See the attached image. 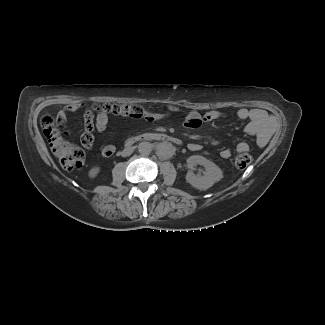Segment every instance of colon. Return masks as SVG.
Wrapping results in <instances>:
<instances>
[{
	"label": "colon",
	"mask_w": 325,
	"mask_h": 325,
	"mask_svg": "<svg viewBox=\"0 0 325 325\" xmlns=\"http://www.w3.org/2000/svg\"><path fill=\"white\" fill-rule=\"evenodd\" d=\"M93 109L97 113H104L108 116H121L140 118L147 114L144 107L135 104H95ZM43 131L48 139L50 148L58 158L65 170H73L83 165L85 152L79 146L68 142L56 127L54 118L49 115L43 116L41 120ZM252 163V156L247 152H241L235 159V166L238 169H245Z\"/></svg>",
	"instance_id": "obj_1"
}]
</instances>
